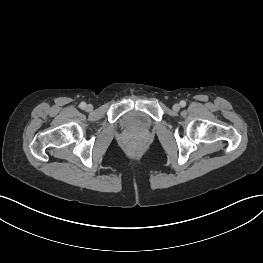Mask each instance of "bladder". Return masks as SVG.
Listing matches in <instances>:
<instances>
[{
    "instance_id": "bladder-1",
    "label": "bladder",
    "mask_w": 263,
    "mask_h": 263,
    "mask_svg": "<svg viewBox=\"0 0 263 263\" xmlns=\"http://www.w3.org/2000/svg\"><path fill=\"white\" fill-rule=\"evenodd\" d=\"M121 124L128 129L144 130L152 125V119L144 112L132 110L124 114Z\"/></svg>"
}]
</instances>
